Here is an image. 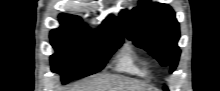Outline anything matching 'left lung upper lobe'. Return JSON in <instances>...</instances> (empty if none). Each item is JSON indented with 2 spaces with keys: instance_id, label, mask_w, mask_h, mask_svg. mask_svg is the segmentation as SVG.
Instances as JSON below:
<instances>
[{
  "instance_id": "obj_1",
  "label": "left lung upper lobe",
  "mask_w": 220,
  "mask_h": 91,
  "mask_svg": "<svg viewBox=\"0 0 220 91\" xmlns=\"http://www.w3.org/2000/svg\"><path fill=\"white\" fill-rule=\"evenodd\" d=\"M120 20L129 40L149 51L163 66L171 63V71L175 70L180 56L179 23L169 5L140 0L138 7L123 10Z\"/></svg>"
}]
</instances>
